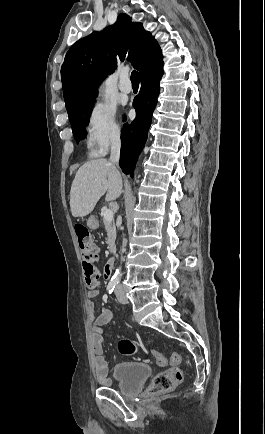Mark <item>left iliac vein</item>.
Instances as JSON below:
<instances>
[{"instance_id": "4c4485c4", "label": "left iliac vein", "mask_w": 265, "mask_h": 434, "mask_svg": "<svg viewBox=\"0 0 265 434\" xmlns=\"http://www.w3.org/2000/svg\"><path fill=\"white\" fill-rule=\"evenodd\" d=\"M115 293H116L117 299L120 303H122V304L127 303V297L125 296V293L121 288L117 287L115 290Z\"/></svg>"}]
</instances>
